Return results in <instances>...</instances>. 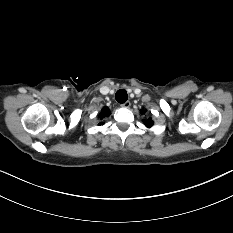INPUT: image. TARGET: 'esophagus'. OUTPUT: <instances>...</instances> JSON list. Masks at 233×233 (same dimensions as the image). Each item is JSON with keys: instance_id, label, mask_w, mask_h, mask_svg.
Returning <instances> with one entry per match:
<instances>
[{"instance_id": "1", "label": "esophagus", "mask_w": 233, "mask_h": 233, "mask_svg": "<svg viewBox=\"0 0 233 233\" xmlns=\"http://www.w3.org/2000/svg\"><path fill=\"white\" fill-rule=\"evenodd\" d=\"M130 105H131L130 101H126V102H124V103L121 104V107H123V108H129Z\"/></svg>"}]
</instances>
